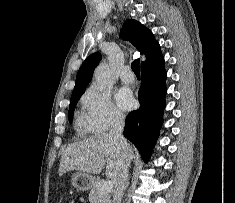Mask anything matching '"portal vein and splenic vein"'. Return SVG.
I'll return each instance as SVG.
<instances>
[{
	"mask_svg": "<svg viewBox=\"0 0 235 203\" xmlns=\"http://www.w3.org/2000/svg\"><path fill=\"white\" fill-rule=\"evenodd\" d=\"M113 189V183L110 180H107L103 183L102 188H101V193H109Z\"/></svg>",
	"mask_w": 235,
	"mask_h": 203,
	"instance_id": "obj_1",
	"label": "portal vein and splenic vein"
}]
</instances>
